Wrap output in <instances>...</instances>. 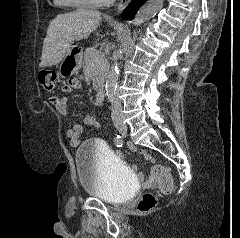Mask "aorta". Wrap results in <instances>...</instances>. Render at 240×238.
<instances>
[{
	"instance_id": "obj_1",
	"label": "aorta",
	"mask_w": 240,
	"mask_h": 238,
	"mask_svg": "<svg viewBox=\"0 0 240 238\" xmlns=\"http://www.w3.org/2000/svg\"><path fill=\"white\" fill-rule=\"evenodd\" d=\"M163 1L164 0H147V2L137 12L133 20V24L138 26L156 15V13H158L162 8ZM118 77L119 65L115 63L111 66L110 71L108 72L105 84L106 96L109 101H112L113 98L116 97Z\"/></svg>"
}]
</instances>
